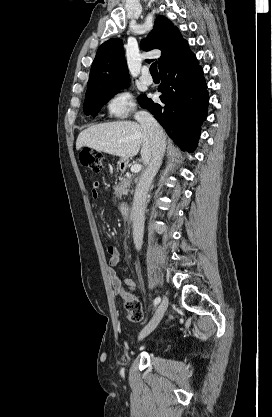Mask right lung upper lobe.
<instances>
[{
  "instance_id": "obj_1",
  "label": "right lung upper lobe",
  "mask_w": 272,
  "mask_h": 417,
  "mask_svg": "<svg viewBox=\"0 0 272 417\" xmlns=\"http://www.w3.org/2000/svg\"><path fill=\"white\" fill-rule=\"evenodd\" d=\"M185 44L186 41L182 38L178 28L174 27L163 16H159L155 20L153 30L141 42L142 48L146 51L151 49L162 51L159 58V68ZM126 85H129V75L123 44L118 38L110 39L97 50L91 67L86 94Z\"/></svg>"
}]
</instances>
